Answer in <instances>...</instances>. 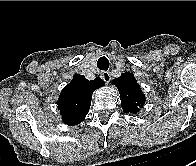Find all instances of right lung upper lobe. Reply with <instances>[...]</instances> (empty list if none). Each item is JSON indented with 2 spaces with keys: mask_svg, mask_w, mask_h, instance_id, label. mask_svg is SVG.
Instances as JSON below:
<instances>
[{
  "mask_svg": "<svg viewBox=\"0 0 196 166\" xmlns=\"http://www.w3.org/2000/svg\"><path fill=\"white\" fill-rule=\"evenodd\" d=\"M104 84L101 78L89 81L83 75L75 74L61 91L57 102L63 122L67 125L81 123L89 112L93 91Z\"/></svg>",
  "mask_w": 196,
  "mask_h": 166,
  "instance_id": "obj_1",
  "label": "right lung upper lobe"
}]
</instances>
